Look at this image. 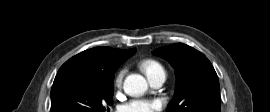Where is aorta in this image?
Masks as SVG:
<instances>
[{"mask_svg": "<svg viewBox=\"0 0 270 112\" xmlns=\"http://www.w3.org/2000/svg\"><path fill=\"white\" fill-rule=\"evenodd\" d=\"M123 88L128 95L139 96L147 91L148 84L143 76L139 74H131L126 77Z\"/></svg>", "mask_w": 270, "mask_h": 112, "instance_id": "obj_1", "label": "aorta"}]
</instances>
